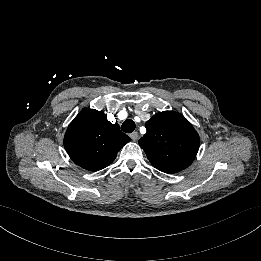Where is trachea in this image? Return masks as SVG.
Returning <instances> with one entry per match:
<instances>
[{
  "instance_id": "obj_1",
  "label": "trachea",
  "mask_w": 261,
  "mask_h": 261,
  "mask_svg": "<svg viewBox=\"0 0 261 261\" xmlns=\"http://www.w3.org/2000/svg\"><path fill=\"white\" fill-rule=\"evenodd\" d=\"M135 129V122L132 119H127L121 125V130L125 133H132Z\"/></svg>"
}]
</instances>
